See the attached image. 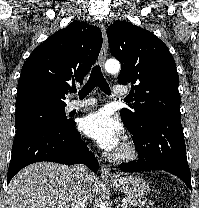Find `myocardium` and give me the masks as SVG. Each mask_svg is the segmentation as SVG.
Listing matches in <instances>:
<instances>
[{
  "mask_svg": "<svg viewBox=\"0 0 199 208\" xmlns=\"http://www.w3.org/2000/svg\"><path fill=\"white\" fill-rule=\"evenodd\" d=\"M138 156V148L136 144L129 138H125L121 145V150L119 152H113L110 155V159L117 163H126L133 161Z\"/></svg>",
  "mask_w": 199,
  "mask_h": 208,
  "instance_id": "obj_1",
  "label": "myocardium"
}]
</instances>
